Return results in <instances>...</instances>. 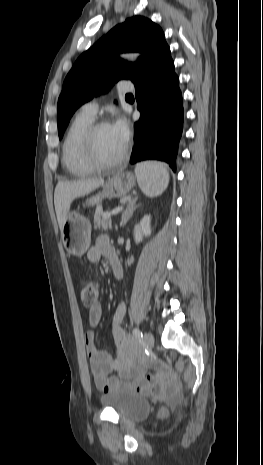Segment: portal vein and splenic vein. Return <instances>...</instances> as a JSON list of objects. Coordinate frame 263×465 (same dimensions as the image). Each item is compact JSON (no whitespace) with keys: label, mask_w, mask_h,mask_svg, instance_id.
I'll return each instance as SVG.
<instances>
[{"label":"portal vein and splenic vein","mask_w":263,"mask_h":465,"mask_svg":"<svg viewBox=\"0 0 263 465\" xmlns=\"http://www.w3.org/2000/svg\"><path fill=\"white\" fill-rule=\"evenodd\" d=\"M122 209H123V206L118 207L117 209H115V210L112 211V212H107V213H105V214L103 215V218H104V219H108V218H110L112 215H115V214L119 213Z\"/></svg>","instance_id":"portal-vein-and-splenic-vein-1"}]
</instances>
